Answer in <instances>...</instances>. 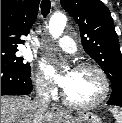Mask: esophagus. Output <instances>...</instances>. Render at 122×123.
<instances>
[{
    "label": "esophagus",
    "instance_id": "1",
    "mask_svg": "<svg viewBox=\"0 0 122 123\" xmlns=\"http://www.w3.org/2000/svg\"><path fill=\"white\" fill-rule=\"evenodd\" d=\"M51 112H52V114H54L56 116L65 115V112L61 108L54 106V105L51 107Z\"/></svg>",
    "mask_w": 122,
    "mask_h": 123
}]
</instances>
